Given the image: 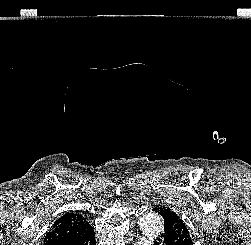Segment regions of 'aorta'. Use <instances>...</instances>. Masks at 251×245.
<instances>
[{"label": "aorta", "instance_id": "762f6f07", "mask_svg": "<svg viewBox=\"0 0 251 245\" xmlns=\"http://www.w3.org/2000/svg\"><path fill=\"white\" fill-rule=\"evenodd\" d=\"M143 237L135 245H153L154 239L163 229V222L156 213L144 214L139 221Z\"/></svg>", "mask_w": 251, "mask_h": 245}]
</instances>
